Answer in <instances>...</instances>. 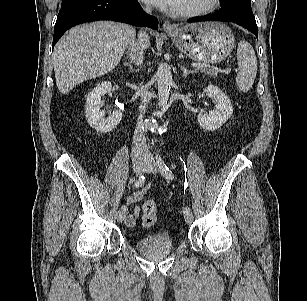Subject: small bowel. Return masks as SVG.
Listing matches in <instances>:
<instances>
[{"label": "small bowel", "instance_id": "c3829d8e", "mask_svg": "<svg viewBox=\"0 0 307 301\" xmlns=\"http://www.w3.org/2000/svg\"><path fill=\"white\" fill-rule=\"evenodd\" d=\"M149 188L150 186L143 188L141 190L135 191L127 197L126 204L129 206H133L131 213L128 215V217L125 220L127 226L135 225L136 219L140 215V208L136 204L141 202L144 199Z\"/></svg>", "mask_w": 307, "mask_h": 301}]
</instances>
